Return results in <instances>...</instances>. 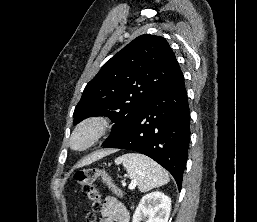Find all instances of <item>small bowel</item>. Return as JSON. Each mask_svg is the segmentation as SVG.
Returning <instances> with one entry per match:
<instances>
[{
  "mask_svg": "<svg viewBox=\"0 0 257 222\" xmlns=\"http://www.w3.org/2000/svg\"><path fill=\"white\" fill-rule=\"evenodd\" d=\"M128 209L113 196H107L102 205L100 222H129Z\"/></svg>",
  "mask_w": 257,
  "mask_h": 222,
  "instance_id": "1",
  "label": "small bowel"
}]
</instances>
